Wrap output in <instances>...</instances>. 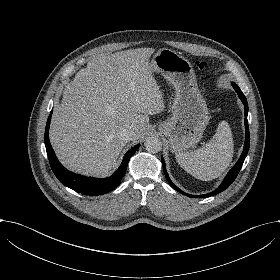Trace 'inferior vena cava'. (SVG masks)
Instances as JSON below:
<instances>
[{"instance_id":"1","label":"inferior vena cava","mask_w":280,"mask_h":280,"mask_svg":"<svg viewBox=\"0 0 280 280\" xmlns=\"http://www.w3.org/2000/svg\"><path fill=\"white\" fill-rule=\"evenodd\" d=\"M119 136L123 142H130L133 139V133H131L127 129H121L119 132Z\"/></svg>"}]
</instances>
